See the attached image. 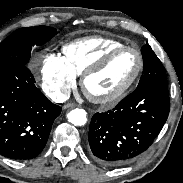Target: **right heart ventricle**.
Returning <instances> with one entry per match:
<instances>
[{"label": "right heart ventricle", "instance_id": "e07e8e85", "mask_svg": "<svg viewBox=\"0 0 183 183\" xmlns=\"http://www.w3.org/2000/svg\"><path fill=\"white\" fill-rule=\"evenodd\" d=\"M122 45L123 43L112 38L90 36L64 45L62 57L67 67L75 75L80 76L106 52Z\"/></svg>", "mask_w": 183, "mask_h": 183}]
</instances>
